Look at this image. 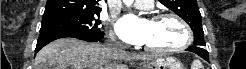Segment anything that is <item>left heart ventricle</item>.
<instances>
[{"mask_svg":"<svg viewBox=\"0 0 246 69\" xmlns=\"http://www.w3.org/2000/svg\"><path fill=\"white\" fill-rule=\"evenodd\" d=\"M185 38L182 27L173 19L150 21L144 44L155 48H170Z\"/></svg>","mask_w":246,"mask_h":69,"instance_id":"obj_1","label":"left heart ventricle"}]
</instances>
